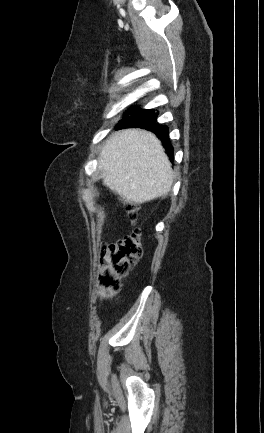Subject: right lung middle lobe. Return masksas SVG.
Segmentation results:
<instances>
[{
	"mask_svg": "<svg viewBox=\"0 0 264 433\" xmlns=\"http://www.w3.org/2000/svg\"><path fill=\"white\" fill-rule=\"evenodd\" d=\"M138 111V109H130V110H128L126 113H125V115H124V118H127V117H131L134 113H136ZM129 114H130V116H129Z\"/></svg>",
	"mask_w": 264,
	"mask_h": 433,
	"instance_id": "1",
	"label": "right lung middle lobe"
}]
</instances>
